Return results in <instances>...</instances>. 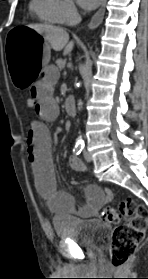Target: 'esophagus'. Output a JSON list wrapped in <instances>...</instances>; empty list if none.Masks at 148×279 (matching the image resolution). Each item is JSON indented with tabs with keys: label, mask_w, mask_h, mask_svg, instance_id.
Segmentation results:
<instances>
[{
	"label": "esophagus",
	"mask_w": 148,
	"mask_h": 279,
	"mask_svg": "<svg viewBox=\"0 0 148 279\" xmlns=\"http://www.w3.org/2000/svg\"><path fill=\"white\" fill-rule=\"evenodd\" d=\"M105 5H106V0H103L101 7L91 18V21L88 24V29L93 30L102 23L105 14Z\"/></svg>",
	"instance_id": "1"
}]
</instances>
